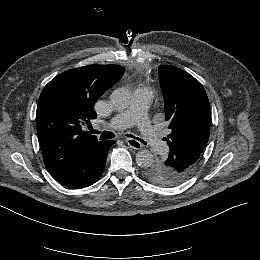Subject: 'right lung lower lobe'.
<instances>
[{"label": "right lung lower lobe", "mask_w": 260, "mask_h": 260, "mask_svg": "<svg viewBox=\"0 0 260 260\" xmlns=\"http://www.w3.org/2000/svg\"><path fill=\"white\" fill-rule=\"evenodd\" d=\"M115 141H107L102 146V150L95 154L92 158L77 166L74 169L68 170L65 173L54 177L60 184L72 189H80L88 187L99 180L104 170L107 153L109 147L114 144Z\"/></svg>", "instance_id": "right-lung-lower-lobe-1"}]
</instances>
